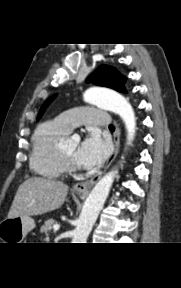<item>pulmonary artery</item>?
I'll list each match as a JSON object with an SVG mask.
<instances>
[{
    "label": "pulmonary artery",
    "instance_id": "pulmonary-artery-1",
    "mask_svg": "<svg viewBox=\"0 0 181 288\" xmlns=\"http://www.w3.org/2000/svg\"><path fill=\"white\" fill-rule=\"evenodd\" d=\"M55 120L67 131H71L74 127L79 125L109 126L107 112L91 107H77L65 111L58 115Z\"/></svg>",
    "mask_w": 181,
    "mask_h": 288
}]
</instances>
